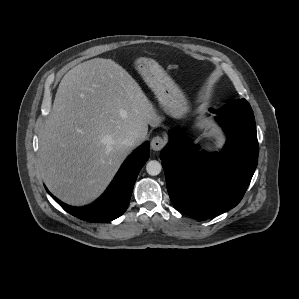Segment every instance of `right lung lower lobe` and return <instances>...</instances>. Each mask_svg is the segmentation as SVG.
<instances>
[{"label":"right lung lower lobe","instance_id":"1","mask_svg":"<svg viewBox=\"0 0 299 299\" xmlns=\"http://www.w3.org/2000/svg\"><path fill=\"white\" fill-rule=\"evenodd\" d=\"M150 155V143L138 147L122 164L106 193L93 205L74 208L50 196L68 213L88 222H107L121 216L130 201L138 173Z\"/></svg>","mask_w":299,"mask_h":299}]
</instances>
